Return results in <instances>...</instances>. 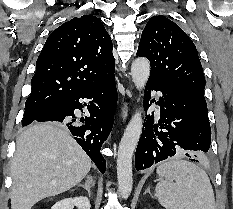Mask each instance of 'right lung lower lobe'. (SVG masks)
Returning a JSON list of instances; mask_svg holds the SVG:
<instances>
[{"label":"right lung lower lobe","mask_w":233,"mask_h":209,"mask_svg":"<svg viewBox=\"0 0 233 209\" xmlns=\"http://www.w3.org/2000/svg\"><path fill=\"white\" fill-rule=\"evenodd\" d=\"M81 98L90 100L87 105L90 116L76 118L74 110L83 108L79 102ZM116 103L117 89L113 75L90 89L63 98L33 122H57L68 128L100 172L104 173L106 161L100 148L112 129Z\"/></svg>","instance_id":"right-lung-lower-lobe-1"}]
</instances>
